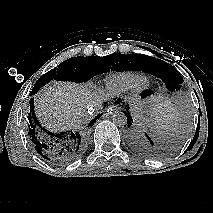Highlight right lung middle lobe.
<instances>
[{
  "mask_svg": "<svg viewBox=\"0 0 213 213\" xmlns=\"http://www.w3.org/2000/svg\"><path fill=\"white\" fill-rule=\"evenodd\" d=\"M121 56L125 55L114 53L104 57H72L62 62L57 68L42 75L35 83L32 91L38 90L53 79L81 83L98 74L109 72L110 69L117 70L115 67L125 66V62L120 61Z\"/></svg>",
  "mask_w": 213,
  "mask_h": 213,
  "instance_id": "obj_1",
  "label": "right lung middle lobe"
}]
</instances>
